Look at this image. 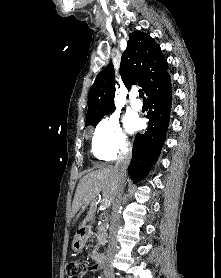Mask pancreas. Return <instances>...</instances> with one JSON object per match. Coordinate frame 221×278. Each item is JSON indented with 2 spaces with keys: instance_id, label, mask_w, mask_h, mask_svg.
I'll use <instances>...</instances> for the list:
<instances>
[{
  "instance_id": "cf45deb5",
  "label": "pancreas",
  "mask_w": 221,
  "mask_h": 278,
  "mask_svg": "<svg viewBox=\"0 0 221 278\" xmlns=\"http://www.w3.org/2000/svg\"><path fill=\"white\" fill-rule=\"evenodd\" d=\"M99 233L97 235L98 245L96 250L99 248L100 245H104L106 243V236L108 234V229H106V224H98Z\"/></svg>"
}]
</instances>
